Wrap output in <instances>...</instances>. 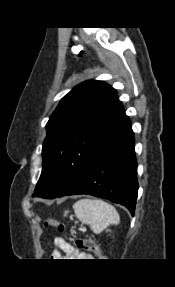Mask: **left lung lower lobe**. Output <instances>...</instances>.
I'll return each mask as SVG.
<instances>
[{"instance_id":"left-lung-lower-lobe-1","label":"left lung lower lobe","mask_w":175,"mask_h":287,"mask_svg":"<svg viewBox=\"0 0 175 287\" xmlns=\"http://www.w3.org/2000/svg\"><path fill=\"white\" fill-rule=\"evenodd\" d=\"M137 192L134 133L129 122L97 152L86 170L57 196L88 194L119 203L134 214Z\"/></svg>"}]
</instances>
